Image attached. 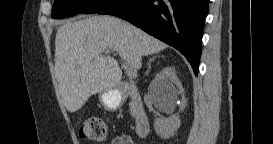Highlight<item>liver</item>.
Instances as JSON below:
<instances>
[{"mask_svg": "<svg viewBox=\"0 0 273 144\" xmlns=\"http://www.w3.org/2000/svg\"><path fill=\"white\" fill-rule=\"evenodd\" d=\"M168 46L141 29L112 16H92L61 25L55 38V73L66 109L73 113L96 93L116 89L122 71L116 59L103 53L115 50L133 68L142 56Z\"/></svg>", "mask_w": 273, "mask_h": 144, "instance_id": "6515ba94", "label": "liver"}]
</instances>
